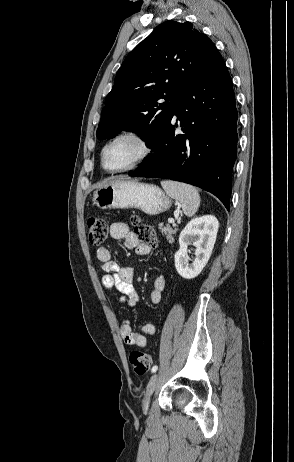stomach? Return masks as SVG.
Here are the masks:
<instances>
[{
  "mask_svg": "<svg viewBox=\"0 0 294 462\" xmlns=\"http://www.w3.org/2000/svg\"><path fill=\"white\" fill-rule=\"evenodd\" d=\"M94 201L101 209L137 208L157 215L171 207L170 198L156 185L135 180L117 179L94 192Z\"/></svg>",
  "mask_w": 294,
  "mask_h": 462,
  "instance_id": "obj_1",
  "label": "stomach"
}]
</instances>
